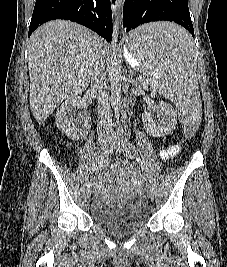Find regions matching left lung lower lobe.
I'll use <instances>...</instances> for the list:
<instances>
[{
  "label": "left lung lower lobe",
  "instance_id": "left-lung-lower-lobe-1",
  "mask_svg": "<svg viewBox=\"0 0 227 267\" xmlns=\"http://www.w3.org/2000/svg\"><path fill=\"white\" fill-rule=\"evenodd\" d=\"M154 21H174L194 37L187 0H128L124 3L123 25L127 32ZM153 41L169 48H176L184 43L178 38H159Z\"/></svg>",
  "mask_w": 227,
  "mask_h": 267
}]
</instances>
